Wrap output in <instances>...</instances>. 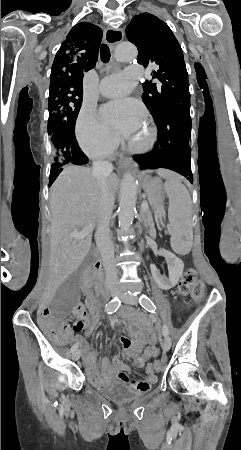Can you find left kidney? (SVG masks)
I'll return each mask as SVG.
<instances>
[{"instance_id": "obj_1", "label": "left kidney", "mask_w": 241, "mask_h": 450, "mask_svg": "<svg viewBox=\"0 0 241 450\" xmlns=\"http://www.w3.org/2000/svg\"><path fill=\"white\" fill-rule=\"evenodd\" d=\"M160 254L161 256H164L167 262L169 278L161 276L154 264H151L150 266L151 274L158 288H161V290H170V288H174V286L178 284L183 274L184 264L180 258H177L175 254H171V252H167V250H160Z\"/></svg>"}]
</instances>
